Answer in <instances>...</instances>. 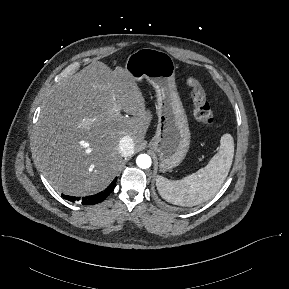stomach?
Listing matches in <instances>:
<instances>
[{
    "label": "stomach",
    "instance_id": "1",
    "mask_svg": "<svg viewBox=\"0 0 289 289\" xmlns=\"http://www.w3.org/2000/svg\"><path fill=\"white\" fill-rule=\"evenodd\" d=\"M125 70L136 81L147 79L156 91L158 124L150 147L159 156L160 170L172 171L182 163L190 147V130L175 83L173 58L157 49L141 48L129 55Z\"/></svg>",
    "mask_w": 289,
    "mask_h": 289
}]
</instances>
